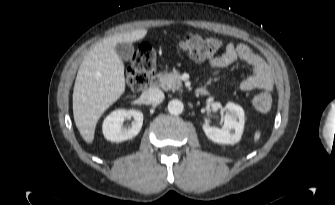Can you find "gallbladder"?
Listing matches in <instances>:
<instances>
[{
    "instance_id": "bac80fb5",
    "label": "gallbladder",
    "mask_w": 335,
    "mask_h": 205,
    "mask_svg": "<svg viewBox=\"0 0 335 205\" xmlns=\"http://www.w3.org/2000/svg\"><path fill=\"white\" fill-rule=\"evenodd\" d=\"M115 51L120 59L129 61L132 59V56L134 54V47L129 42L118 43L115 46Z\"/></svg>"
}]
</instances>
